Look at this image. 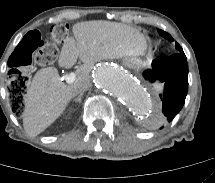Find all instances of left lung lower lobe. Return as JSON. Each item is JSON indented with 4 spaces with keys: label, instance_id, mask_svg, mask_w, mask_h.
<instances>
[{
    "label": "left lung lower lobe",
    "instance_id": "obj_1",
    "mask_svg": "<svg viewBox=\"0 0 215 183\" xmlns=\"http://www.w3.org/2000/svg\"><path fill=\"white\" fill-rule=\"evenodd\" d=\"M143 76L150 82L164 83V92L160 95L163 119L172 121L182 109L188 90V63L184 52L154 60L152 70L145 71Z\"/></svg>",
    "mask_w": 215,
    "mask_h": 183
}]
</instances>
